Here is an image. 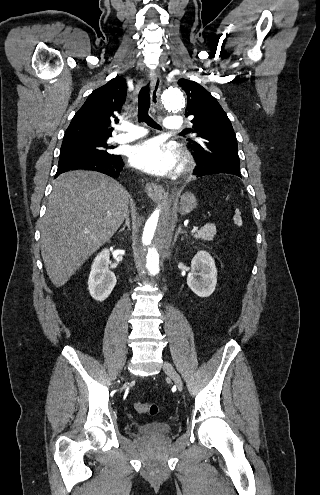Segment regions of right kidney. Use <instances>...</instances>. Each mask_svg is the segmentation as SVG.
I'll return each instance as SVG.
<instances>
[{"label":"right kidney","instance_id":"obj_1","mask_svg":"<svg viewBox=\"0 0 320 495\" xmlns=\"http://www.w3.org/2000/svg\"><path fill=\"white\" fill-rule=\"evenodd\" d=\"M109 255V250L104 249L96 256L88 279L90 295L99 302L108 298L117 282L115 274L109 269Z\"/></svg>","mask_w":320,"mask_h":495}]
</instances>
